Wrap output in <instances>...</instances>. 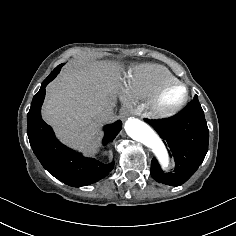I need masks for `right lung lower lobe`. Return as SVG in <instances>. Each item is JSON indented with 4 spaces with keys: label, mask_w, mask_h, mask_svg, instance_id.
<instances>
[{
    "label": "right lung lower lobe",
    "mask_w": 236,
    "mask_h": 236,
    "mask_svg": "<svg viewBox=\"0 0 236 236\" xmlns=\"http://www.w3.org/2000/svg\"><path fill=\"white\" fill-rule=\"evenodd\" d=\"M58 73L52 72L43 81L40 90L33 97L27 114V134L35 155L51 175L73 187L86 186L106 177L113 169L114 161L102 163L69 149L56 139L52 128L41 118L45 87ZM121 127L122 122L120 120L105 126L103 145L113 141Z\"/></svg>",
    "instance_id": "1"
}]
</instances>
